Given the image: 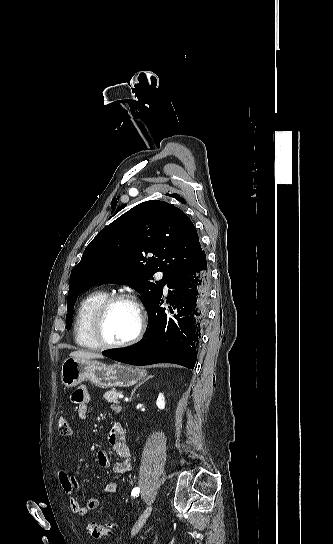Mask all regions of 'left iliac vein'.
<instances>
[{
  "mask_svg": "<svg viewBox=\"0 0 333 544\" xmlns=\"http://www.w3.org/2000/svg\"><path fill=\"white\" fill-rule=\"evenodd\" d=\"M152 505L146 508V510L141 514L137 522L135 523L133 529H132V535H135L145 524L146 520L148 519L149 515L152 512Z\"/></svg>",
  "mask_w": 333,
  "mask_h": 544,
  "instance_id": "left-iliac-vein-1",
  "label": "left iliac vein"
}]
</instances>
